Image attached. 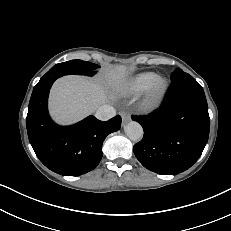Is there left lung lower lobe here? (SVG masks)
Listing matches in <instances>:
<instances>
[{
	"instance_id": "left-lung-lower-lobe-1",
	"label": "left lung lower lobe",
	"mask_w": 231,
	"mask_h": 231,
	"mask_svg": "<svg viewBox=\"0 0 231 231\" xmlns=\"http://www.w3.org/2000/svg\"><path fill=\"white\" fill-rule=\"evenodd\" d=\"M161 106L148 116H132L144 129L133 151L141 164L158 174L190 168L208 141L210 118L201 85L185 72H174Z\"/></svg>"
}]
</instances>
